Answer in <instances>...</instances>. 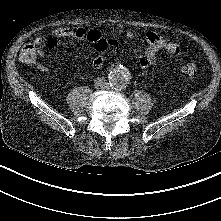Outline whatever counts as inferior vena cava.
<instances>
[{"label":"inferior vena cava","mask_w":221,"mask_h":221,"mask_svg":"<svg viewBox=\"0 0 221 221\" xmlns=\"http://www.w3.org/2000/svg\"><path fill=\"white\" fill-rule=\"evenodd\" d=\"M96 84H101L102 87H107L108 83L106 82V80L104 78H97V80H95Z\"/></svg>","instance_id":"obj_1"}]
</instances>
